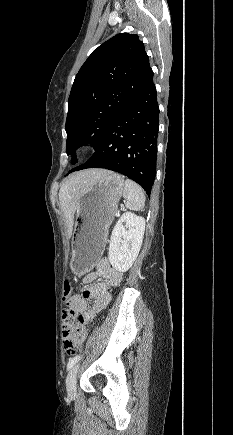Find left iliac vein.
<instances>
[{"instance_id":"1","label":"left iliac vein","mask_w":233,"mask_h":435,"mask_svg":"<svg viewBox=\"0 0 233 435\" xmlns=\"http://www.w3.org/2000/svg\"><path fill=\"white\" fill-rule=\"evenodd\" d=\"M78 364H75L68 372L66 378V388L69 396H74L76 393V376L78 371Z\"/></svg>"}]
</instances>
